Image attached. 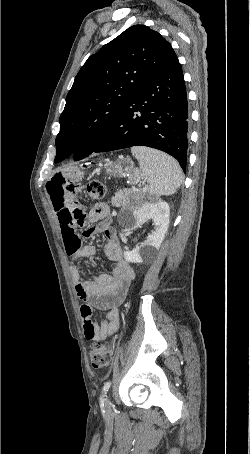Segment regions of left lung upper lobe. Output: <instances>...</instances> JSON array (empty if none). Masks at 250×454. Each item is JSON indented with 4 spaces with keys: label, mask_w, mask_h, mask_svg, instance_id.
I'll return each mask as SVG.
<instances>
[{
    "label": "left lung upper lobe",
    "mask_w": 250,
    "mask_h": 454,
    "mask_svg": "<svg viewBox=\"0 0 250 454\" xmlns=\"http://www.w3.org/2000/svg\"><path fill=\"white\" fill-rule=\"evenodd\" d=\"M174 53L158 32L134 25L90 56L75 77L60 116L55 162L91 154L140 87Z\"/></svg>",
    "instance_id": "left-lung-upper-lobe-1"
}]
</instances>
